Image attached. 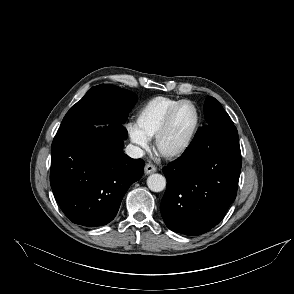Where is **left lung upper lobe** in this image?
Returning <instances> with one entry per match:
<instances>
[{
	"instance_id": "5c2ea615",
	"label": "left lung upper lobe",
	"mask_w": 294,
	"mask_h": 294,
	"mask_svg": "<svg viewBox=\"0 0 294 294\" xmlns=\"http://www.w3.org/2000/svg\"><path fill=\"white\" fill-rule=\"evenodd\" d=\"M204 116L207 125L215 124H233V121L223 109L219 101L214 97H209L205 101Z\"/></svg>"
}]
</instances>
